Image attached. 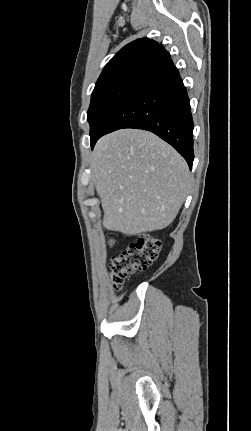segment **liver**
I'll return each instance as SVG.
<instances>
[{
	"label": "liver",
	"instance_id": "6515ba94",
	"mask_svg": "<svg viewBox=\"0 0 251 431\" xmlns=\"http://www.w3.org/2000/svg\"><path fill=\"white\" fill-rule=\"evenodd\" d=\"M92 180L103 224L128 236L161 230L177 216L191 177L182 156L148 131L121 129L98 140Z\"/></svg>",
	"mask_w": 251,
	"mask_h": 431
}]
</instances>
